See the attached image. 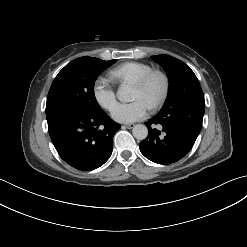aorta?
Returning <instances> with one entry per match:
<instances>
[{
    "label": "aorta",
    "mask_w": 247,
    "mask_h": 247,
    "mask_svg": "<svg viewBox=\"0 0 247 247\" xmlns=\"http://www.w3.org/2000/svg\"><path fill=\"white\" fill-rule=\"evenodd\" d=\"M131 92V86L127 83H123L117 91V97L120 101H129L131 97ZM132 133L137 140H143L148 135V129L143 124H136L133 127Z\"/></svg>",
    "instance_id": "1"
}]
</instances>
